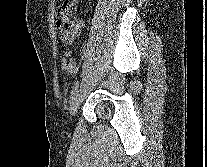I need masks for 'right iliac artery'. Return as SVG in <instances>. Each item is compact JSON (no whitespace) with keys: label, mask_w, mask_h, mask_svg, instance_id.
<instances>
[{"label":"right iliac artery","mask_w":207,"mask_h":167,"mask_svg":"<svg viewBox=\"0 0 207 167\" xmlns=\"http://www.w3.org/2000/svg\"><path fill=\"white\" fill-rule=\"evenodd\" d=\"M78 86H79V82L77 81V82L74 84V86H73V88H72V90H71V98H72V99L74 98V96H75L76 93L78 92Z\"/></svg>","instance_id":"82829eb1"}]
</instances>
